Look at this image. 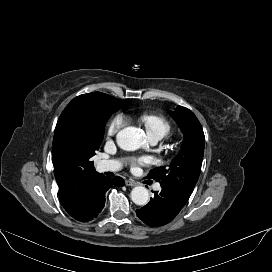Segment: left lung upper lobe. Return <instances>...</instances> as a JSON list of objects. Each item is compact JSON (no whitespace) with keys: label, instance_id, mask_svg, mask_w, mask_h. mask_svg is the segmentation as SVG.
I'll return each mask as SVG.
<instances>
[{"label":"left lung upper lobe","instance_id":"obj_1","mask_svg":"<svg viewBox=\"0 0 272 272\" xmlns=\"http://www.w3.org/2000/svg\"><path fill=\"white\" fill-rule=\"evenodd\" d=\"M172 115L185 133L182 148L168 167L154 168L148 178L188 200L199 178L205 136L200 122L189 109L178 106Z\"/></svg>","mask_w":272,"mask_h":272}]
</instances>
